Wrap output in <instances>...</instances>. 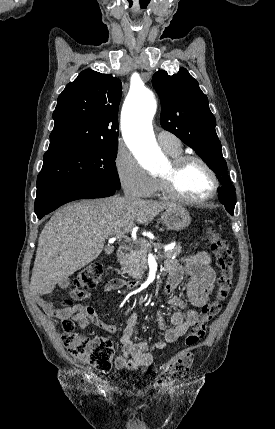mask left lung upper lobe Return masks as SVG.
<instances>
[{"label": "left lung upper lobe", "mask_w": 275, "mask_h": 429, "mask_svg": "<svg viewBox=\"0 0 275 429\" xmlns=\"http://www.w3.org/2000/svg\"><path fill=\"white\" fill-rule=\"evenodd\" d=\"M152 83L162 101L161 126L195 150L217 174L226 188V196L219 200L233 214L236 192L227 173L207 96L185 68L173 75L160 70L153 75Z\"/></svg>", "instance_id": "left-lung-upper-lobe-1"}]
</instances>
